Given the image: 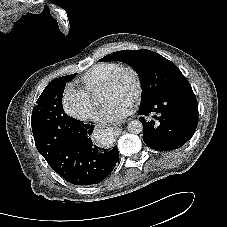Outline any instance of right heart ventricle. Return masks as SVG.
Masks as SVG:
<instances>
[{
  "mask_svg": "<svg viewBox=\"0 0 227 227\" xmlns=\"http://www.w3.org/2000/svg\"><path fill=\"white\" fill-rule=\"evenodd\" d=\"M121 66L115 61L98 62L88 68L77 80L80 89L93 94L97 92L106 80Z\"/></svg>",
  "mask_w": 227,
  "mask_h": 227,
  "instance_id": "obj_1",
  "label": "right heart ventricle"
}]
</instances>
